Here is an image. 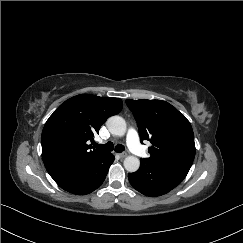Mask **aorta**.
Segmentation results:
<instances>
[{
  "label": "aorta",
  "mask_w": 243,
  "mask_h": 243,
  "mask_svg": "<svg viewBox=\"0 0 243 243\" xmlns=\"http://www.w3.org/2000/svg\"><path fill=\"white\" fill-rule=\"evenodd\" d=\"M106 126L110 133L115 136H123L127 129L125 120L117 115L108 118ZM123 165L128 172H136L140 167V160L135 156H128L124 159Z\"/></svg>",
  "instance_id": "762f6f07"
}]
</instances>
